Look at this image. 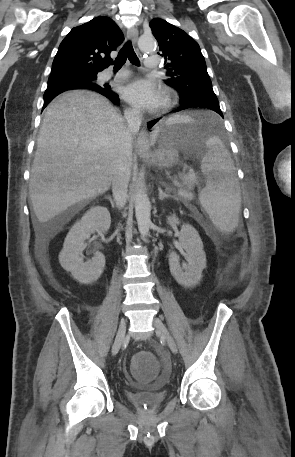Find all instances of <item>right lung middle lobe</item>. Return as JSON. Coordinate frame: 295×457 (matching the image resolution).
Segmentation results:
<instances>
[{
	"instance_id": "dd1d6c3e",
	"label": "right lung middle lobe",
	"mask_w": 295,
	"mask_h": 457,
	"mask_svg": "<svg viewBox=\"0 0 295 457\" xmlns=\"http://www.w3.org/2000/svg\"><path fill=\"white\" fill-rule=\"evenodd\" d=\"M96 78L97 76H90V77H84V78H81L77 81L79 82H82L83 84L85 85H96ZM66 90H58V89H46L45 93H44V98H52V97H55L57 96L58 94L64 92Z\"/></svg>"
}]
</instances>
